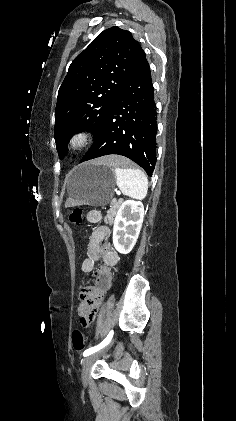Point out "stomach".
Returning <instances> with one entry per match:
<instances>
[{
	"instance_id": "0dacf381",
	"label": "stomach",
	"mask_w": 236,
	"mask_h": 421,
	"mask_svg": "<svg viewBox=\"0 0 236 421\" xmlns=\"http://www.w3.org/2000/svg\"><path fill=\"white\" fill-rule=\"evenodd\" d=\"M116 184V170L109 164L83 162L70 174L69 194L75 204L102 206L110 202Z\"/></svg>"
}]
</instances>
